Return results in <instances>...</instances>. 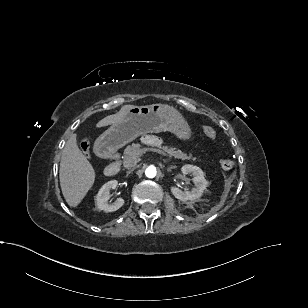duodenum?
Listing matches in <instances>:
<instances>
[{"label": "duodenum", "mask_w": 308, "mask_h": 308, "mask_svg": "<svg viewBox=\"0 0 308 308\" xmlns=\"http://www.w3.org/2000/svg\"><path fill=\"white\" fill-rule=\"evenodd\" d=\"M98 154L110 160V163L105 168V175L113 177L118 174L120 170L119 153L118 150L108 143H103L98 147Z\"/></svg>", "instance_id": "1"}]
</instances>
